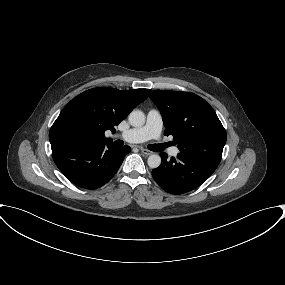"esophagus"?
Listing matches in <instances>:
<instances>
[{"mask_svg":"<svg viewBox=\"0 0 285 285\" xmlns=\"http://www.w3.org/2000/svg\"><path fill=\"white\" fill-rule=\"evenodd\" d=\"M141 152L147 156L151 155L153 153L152 151L145 149V148H141Z\"/></svg>","mask_w":285,"mask_h":285,"instance_id":"obj_1","label":"esophagus"}]
</instances>
